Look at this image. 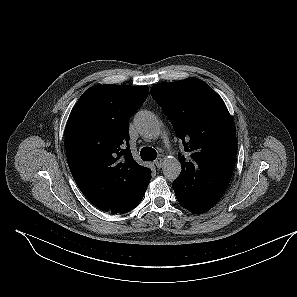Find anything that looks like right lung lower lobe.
Listing matches in <instances>:
<instances>
[{
    "mask_svg": "<svg viewBox=\"0 0 297 297\" xmlns=\"http://www.w3.org/2000/svg\"><path fill=\"white\" fill-rule=\"evenodd\" d=\"M148 186V185H147ZM147 186L138 194V196L136 197V199L131 203V205L125 209L122 213H126V212H129L131 211L132 209H134L135 207H137L139 205V203L141 202L144 194H145V191L147 189Z\"/></svg>",
    "mask_w": 297,
    "mask_h": 297,
    "instance_id": "obj_1",
    "label": "right lung lower lobe"
}]
</instances>
